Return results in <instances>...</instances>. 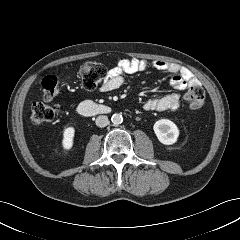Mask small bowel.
Wrapping results in <instances>:
<instances>
[{"mask_svg": "<svg viewBox=\"0 0 240 240\" xmlns=\"http://www.w3.org/2000/svg\"><path fill=\"white\" fill-rule=\"evenodd\" d=\"M149 69L170 74V82L178 91H183L187 87L199 84L198 79L188 69L176 63L163 60L149 62L120 57L116 66L108 71L105 80L100 86V90L109 92L118 89L124 82L125 74L144 72ZM180 101V94L175 92L161 97L150 98L145 101L143 108L146 111L175 110L179 107Z\"/></svg>", "mask_w": 240, "mask_h": 240, "instance_id": "obj_1", "label": "small bowel"}]
</instances>
